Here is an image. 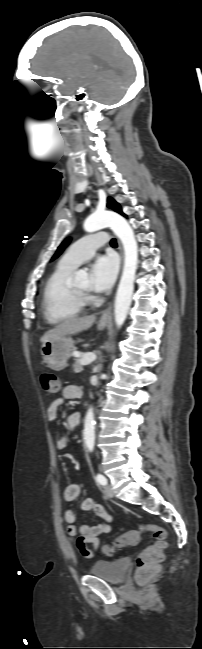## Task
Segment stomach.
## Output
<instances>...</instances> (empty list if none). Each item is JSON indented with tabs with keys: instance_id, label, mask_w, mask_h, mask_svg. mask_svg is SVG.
Returning <instances> with one entry per match:
<instances>
[{
	"instance_id": "0dacf381",
	"label": "stomach",
	"mask_w": 202,
	"mask_h": 649,
	"mask_svg": "<svg viewBox=\"0 0 202 649\" xmlns=\"http://www.w3.org/2000/svg\"><path fill=\"white\" fill-rule=\"evenodd\" d=\"M107 324V319L102 317L98 322V329H103ZM75 341L71 336H61L57 339L48 340L42 343L40 352L45 364L52 370L60 371L67 365V360L71 356Z\"/></svg>"
}]
</instances>
